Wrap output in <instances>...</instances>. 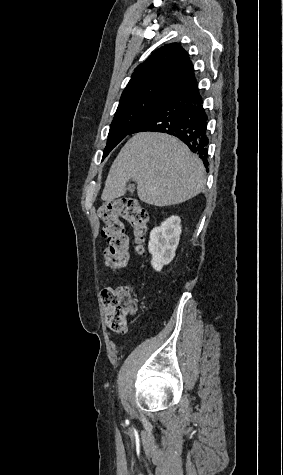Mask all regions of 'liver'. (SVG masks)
<instances>
[{"label": "liver", "instance_id": "1", "mask_svg": "<svg viewBox=\"0 0 283 475\" xmlns=\"http://www.w3.org/2000/svg\"><path fill=\"white\" fill-rule=\"evenodd\" d=\"M129 180L137 182L141 202L152 206L181 204L202 192L204 166L175 136L140 132L115 158L101 200L114 202L125 194Z\"/></svg>", "mask_w": 283, "mask_h": 475}]
</instances>
